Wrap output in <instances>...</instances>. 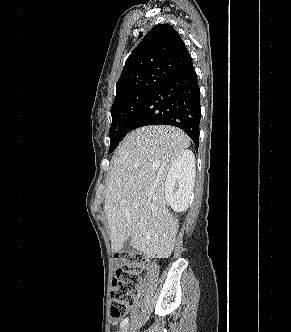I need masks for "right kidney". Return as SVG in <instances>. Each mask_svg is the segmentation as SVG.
Instances as JSON below:
<instances>
[{
    "instance_id": "1",
    "label": "right kidney",
    "mask_w": 291,
    "mask_h": 332,
    "mask_svg": "<svg viewBox=\"0 0 291 332\" xmlns=\"http://www.w3.org/2000/svg\"><path fill=\"white\" fill-rule=\"evenodd\" d=\"M195 157L192 151L181 152L172 164L165 182V199L174 211L188 208L195 178Z\"/></svg>"
}]
</instances>
